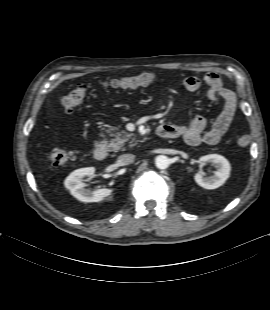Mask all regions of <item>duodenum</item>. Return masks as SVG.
Returning <instances> with one entry per match:
<instances>
[{
    "instance_id": "duodenum-1",
    "label": "duodenum",
    "mask_w": 270,
    "mask_h": 310,
    "mask_svg": "<svg viewBox=\"0 0 270 310\" xmlns=\"http://www.w3.org/2000/svg\"><path fill=\"white\" fill-rule=\"evenodd\" d=\"M158 135L164 139H171L167 131L162 127L158 130ZM94 157L97 160H104L107 157V147L103 143H98L94 149Z\"/></svg>"
}]
</instances>
